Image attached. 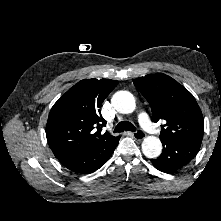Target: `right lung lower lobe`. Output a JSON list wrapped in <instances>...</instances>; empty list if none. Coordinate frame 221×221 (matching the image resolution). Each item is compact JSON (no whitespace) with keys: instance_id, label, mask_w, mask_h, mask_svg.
Returning a JSON list of instances; mask_svg holds the SVG:
<instances>
[{"instance_id":"obj_1","label":"right lung lower lobe","mask_w":221,"mask_h":221,"mask_svg":"<svg viewBox=\"0 0 221 221\" xmlns=\"http://www.w3.org/2000/svg\"><path fill=\"white\" fill-rule=\"evenodd\" d=\"M119 139L107 146L96 150H88L71 155L59 160L69 170L80 173L90 174L99 169L114 152Z\"/></svg>"}]
</instances>
